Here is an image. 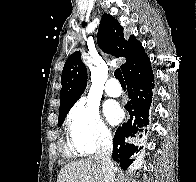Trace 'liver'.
<instances>
[{
	"instance_id": "liver-1",
	"label": "liver",
	"mask_w": 196,
	"mask_h": 182,
	"mask_svg": "<svg viewBox=\"0 0 196 182\" xmlns=\"http://www.w3.org/2000/svg\"><path fill=\"white\" fill-rule=\"evenodd\" d=\"M57 182H105L102 163L92 156L64 165Z\"/></svg>"
}]
</instances>
